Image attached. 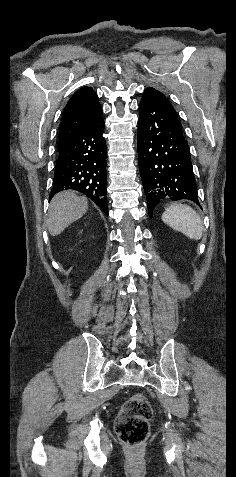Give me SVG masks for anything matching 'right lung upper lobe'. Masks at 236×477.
Listing matches in <instances>:
<instances>
[{
  "label": "right lung upper lobe",
  "mask_w": 236,
  "mask_h": 477,
  "mask_svg": "<svg viewBox=\"0 0 236 477\" xmlns=\"http://www.w3.org/2000/svg\"><path fill=\"white\" fill-rule=\"evenodd\" d=\"M102 116L101 106L94 90H77L65 106L59 126V146L78 136Z\"/></svg>",
  "instance_id": "cb5924a9"
}]
</instances>
